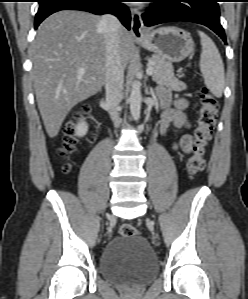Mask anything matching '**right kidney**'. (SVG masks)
Segmentation results:
<instances>
[{"label":"right kidney","mask_w":248,"mask_h":299,"mask_svg":"<svg viewBox=\"0 0 248 299\" xmlns=\"http://www.w3.org/2000/svg\"><path fill=\"white\" fill-rule=\"evenodd\" d=\"M88 131V125L84 120H80L75 127V134L79 137H83L86 135Z\"/></svg>","instance_id":"ca27d5eb"}]
</instances>
